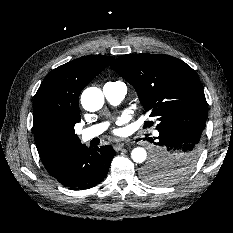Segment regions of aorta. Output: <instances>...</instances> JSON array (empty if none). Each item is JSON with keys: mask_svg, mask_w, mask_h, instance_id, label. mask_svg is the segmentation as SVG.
I'll return each mask as SVG.
<instances>
[{"mask_svg": "<svg viewBox=\"0 0 233 233\" xmlns=\"http://www.w3.org/2000/svg\"><path fill=\"white\" fill-rule=\"evenodd\" d=\"M81 104L83 108L90 112L98 111L103 107V92L96 87L85 89L81 95ZM147 152L142 147L134 148L131 152V158L136 163H142L146 160Z\"/></svg>", "mask_w": 233, "mask_h": 233, "instance_id": "aorta-1", "label": "aorta"}]
</instances>
